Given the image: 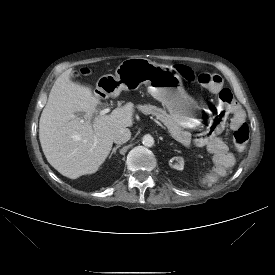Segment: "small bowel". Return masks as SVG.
Listing matches in <instances>:
<instances>
[{
  "label": "small bowel",
  "instance_id": "1",
  "mask_svg": "<svg viewBox=\"0 0 275 275\" xmlns=\"http://www.w3.org/2000/svg\"><path fill=\"white\" fill-rule=\"evenodd\" d=\"M221 86V81L211 88L212 92H217ZM246 124V117L243 109L235 105L231 114L230 128L236 131ZM218 128V127H217ZM192 146L197 151L208 150L212 160L210 167L205 168L200 174V181L205 186H212L226 178L228 169L234 164V157L227 152L223 140L218 138L217 130H205L197 134L192 139Z\"/></svg>",
  "mask_w": 275,
  "mask_h": 275
}]
</instances>
